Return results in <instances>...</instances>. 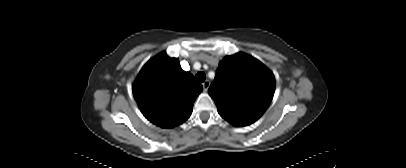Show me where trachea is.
Listing matches in <instances>:
<instances>
[{"instance_id": "obj_1", "label": "trachea", "mask_w": 406, "mask_h": 168, "mask_svg": "<svg viewBox=\"0 0 406 168\" xmlns=\"http://www.w3.org/2000/svg\"><path fill=\"white\" fill-rule=\"evenodd\" d=\"M197 82H204L206 79V75L204 72H198L195 76Z\"/></svg>"}]
</instances>
